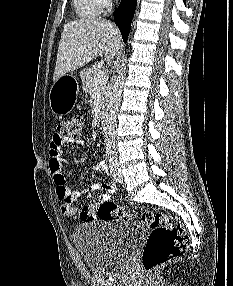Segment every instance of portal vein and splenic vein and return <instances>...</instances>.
Masks as SVG:
<instances>
[{
	"label": "portal vein and splenic vein",
	"instance_id": "obj_1",
	"mask_svg": "<svg viewBox=\"0 0 233 286\" xmlns=\"http://www.w3.org/2000/svg\"><path fill=\"white\" fill-rule=\"evenodd\" d=\"M104 79H105V73H104V71H99V72L97 73V75L94 77V82H95V83H101V82L104 81Z\"/></svg>",
	"mask_w": 233,
	"mask_h": 286
}]
</instances>
